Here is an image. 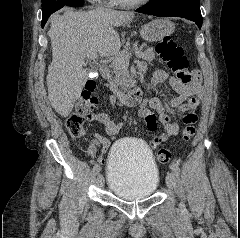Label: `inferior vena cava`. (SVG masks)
Returning <instances> with one entry per match:
<instances>
[{
    "instance_id": "inferior-vena-cava-1",
    "label": "inferior vena cava",
    "mask_w": 240,
    "mask_h": 238,
    "mask_svg": "<svg viewBox=\"0 0 240 238\" xmlns=\"http://www.w3.org/2000/svg\"><path fill=\"white\" fill-rule=\"evenodd\" d=\"M100 10H104V8L102 6H98V7H96L95 11H100Z\"/></svg>"
}]
</instances>
